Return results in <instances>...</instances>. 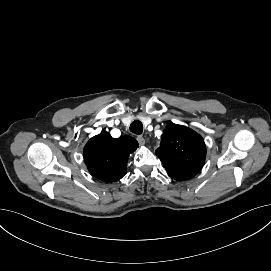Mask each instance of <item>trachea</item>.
I'll return each mask as SVG.
<instances>
[{
  "instance_id": "3493384b",
  "label": "trachea",
  "mask_w": 271,
  "mask_h": 271,
  "mask_svg": "<svg viewBox=\"0 0 271 271\" xmlns=\"http://www.w3.org/2000/svg\"><path fill=\"white\" fill-rule=\"evenodd\" d=\"M130 131L134 134L140 135L143 132V124L139 120H135L130 124Z\"/></svg>"
}]
</instances>
